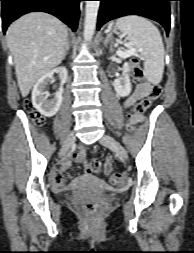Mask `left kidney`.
Wrapping results in <instances>:
<instances>
[{
  "label": "left kidney",
  "instance_id": "left-kidney-1",
  "mask_svg": "<svg viewBox=\"0 0 194 253\" xmlns=\"http://www.w3.org/2000/svg\"><path fill=\"white\" fill-rule=\"evenodd\" d=\"M115 91L120 97H126L131 92V83H130V65L125 63L122 69V77H119L113 82Z\"/></svg>",
  "mask_w": 194,
  "mask_h": 253
}]
</instances>
